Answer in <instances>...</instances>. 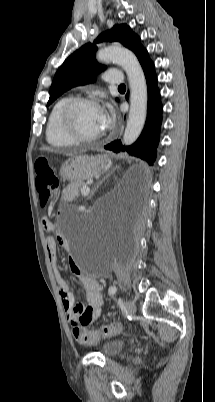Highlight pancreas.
I'll return each mask as SVG.
<instances>
[{
  "label": "pancreas",
  "instance_id": "cf45deb5",
  "mask_svg": "<svg viewBox=\"0 0 215 402\" xmlns=\"http://www.w3.org/2000/svg\"><path fill=\"white\" fill-rule=\"evenodd\" d=\"M87 187L84 182H74L69 187H67L66 192L71 196V198L78 197L80 190Z\"/></svg>",
  "mask_w": 215,
  "mask_h": 402
}]
</instances>
